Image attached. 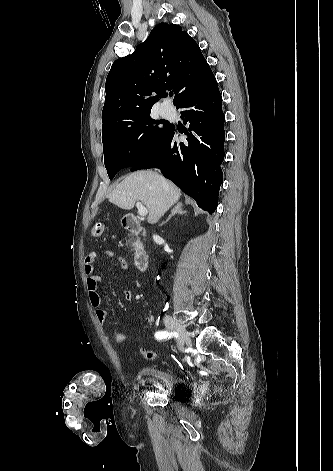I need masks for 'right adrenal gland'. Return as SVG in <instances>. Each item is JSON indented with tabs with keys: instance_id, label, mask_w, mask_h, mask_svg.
<instances>
[{
	"instance_id": "1",
	"label": "right adrenal gland",
	"mask_w": 333,
	"mask_h": 471,
	"mask_svg": "<svg viewBox=\"0 0 333 471\" xmlns=\"http://www.w3.org/2000/svg\"><path fill=\"white\" fill-rule=\"evenodd\" d=\"M186 212H187L186 210H183V204L181 202H177L174 208L171 210V214L168 216L166 221L163 222L162 224H165L166 222H168L172 218V216L176 214H185Z\"/></svg>"
}]
</instances>
